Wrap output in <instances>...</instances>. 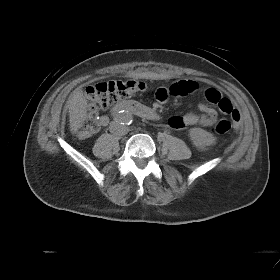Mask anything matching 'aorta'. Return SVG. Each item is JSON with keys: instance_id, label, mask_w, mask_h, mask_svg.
I'll return each mask as SVG.
<instances>
[{"instance_id": "1", "label": "aorta", "mask_w": 280, "mask_h": 280, "mask_svg": "<svg viewBox=\"0 0 280 280\" xmlns=\"http://www.w3.org/2000/svg\"><path fill=\"white\" fill-rule=\"evenodd\" d=\"M118 120L121 124H127L132 120V114L128 111H121Z\"/></svg>"}]
</instances>
